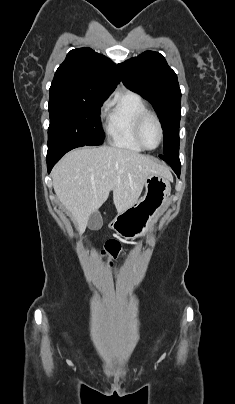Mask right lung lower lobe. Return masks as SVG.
I'll return each mask as SVG.
<instances>
[{"instance_id": "1", "label": "right lung lower lobe", "mask_w": 235, "mask_h": 404, "mask_svg": "<svg viewBox=\"0 0 235 404\" xmlns=\"http://www.w3.org/2000/svg\"><path fill=\"white\" fill-rule=\"evenodd\" d=\"M84 146L82 143L79 142H58L51 146H48V153H47V170L50 173L53 166L59 161V159L66 154L68 151Z\"/></svg>"}]
</instances>
